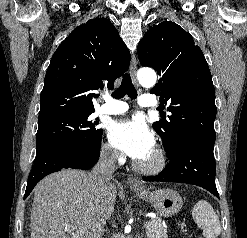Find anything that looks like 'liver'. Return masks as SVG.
<instances>
[{
	"label": "liver",
	"mask_w": 247,
	"mask_h": 238,
	"mask_svg": "<svg viewBox=\"0 0 247 238\" xmlns=\"http://www.w3.org/2000/svg\"><path fill=\"white\" fill-rule=\"evenodd\" d=\"M117 189H99L89 173L65 169L35 187L31 238H99L114 211Z\"/></svg>",
	"instance_id": "6515ba94"
}]
</instances>
